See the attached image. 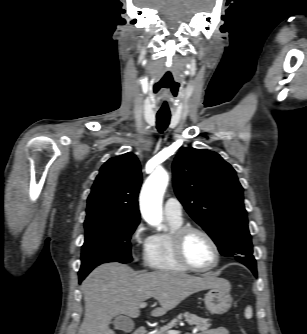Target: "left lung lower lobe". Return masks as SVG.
Here are the masks:
<instances>
[{"label": "left lung lower lobe", "instance_id": "1", "mask_svg": "<svg viewBox=\"0 0 307 334\" xmlns=\"http://www.w3.org/2000/svg\"><path fill=\"white\" fill-rule=\"evenodd\" d=\"M252 272H253V274L255 275V276H257V270H256V267H251V268H249Z\"/></svg>", "mask_w": 307, "mask_h": 334}]
</instances>
